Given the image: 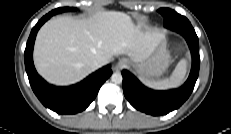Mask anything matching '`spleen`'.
Instances as JSON below:
<instances>
[{
	"mask_svg": "<svg viewBox=\"0 0 231 134\" xmlns=\"http://www.w3.org/2000/svg\"><path fill=\"white\" fill-rule=\"evenodd\" d=\"M186 72H187V60L181 59L169 78L158 80V81L146 80L144 81V84L150 88L158 89V90L175 88L182 84Z\"/></svg>",
	"mask_w": 231,
	"mask_h": 134,
	"instance_id": "obj_1",
	"label": "spleen"
}]
</instances>
